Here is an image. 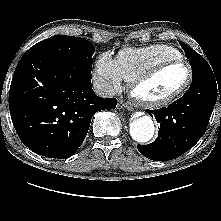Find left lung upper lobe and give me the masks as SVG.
<instances>
[{"mask_svg":"<svg viewBox=\"0 0 221 221\" xmlns=\"http://www.w3.org/2000/svg\"><path fill=\"white\" fill-rule=\"evenodd\" d=\"M181 46L184 49L191 64V68L193 71L192 82L202 80L215 74L214 70L212 71L207 61L196 51H194L186 44H181Z\"/></svg>","mask_w":221,"mask_h":221,"instance_id":"obj_1","label":"left lung upper lobe"}]
</instances>
